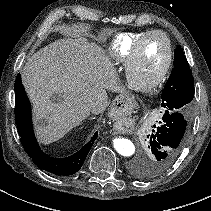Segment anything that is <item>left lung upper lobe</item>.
Masks as SVG:
<instances>
[{
    "label": "left lung upper lobe",
    "mask_w": 211,
    "mask_h": 211,
    "mask_svg": "<svg viewBox=\"0 0 211 211\" xmlns=\"http://www.w3.org/2000/svg\"><path fill=\"white\" fill-rule=\"evenodd\" d=\"M193 97L194 79L192 72L183 50L178 46L174 51V68L162 91L161 106L166 108V111L188 112ZM147 160L149 161L148 157Z\"/></svg>",
    "instance_id": "5c2ea615"
}]
</instances>
